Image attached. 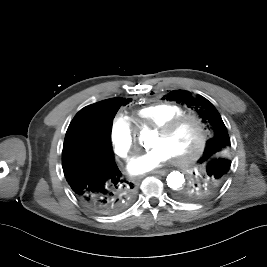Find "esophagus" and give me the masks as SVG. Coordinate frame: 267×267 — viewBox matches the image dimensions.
Instances as JSON below:
<instances>
[{"instance_id": "obj_1", "label": "esophagus", "mask_w": 267, "mask_h": 267, "mask_svg": "<svg viewBox=\"0 0 267 267\" xmlns=\"http://www.w3.org/2000/svg\"><path fill=\"white\" fill-rule=\"evenodd\" d=\"M152 174H159V175H165L167 173V170H158L151 172Z\"/></svg>"}]
</instances>
